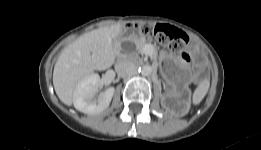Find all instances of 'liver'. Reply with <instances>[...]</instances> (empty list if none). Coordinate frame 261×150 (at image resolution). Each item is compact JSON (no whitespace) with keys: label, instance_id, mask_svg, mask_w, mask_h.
Instances as JSON below:
<instances>
[{"label":"liver","instance_id":"liver-1","mask_svg":"<svg viewBox=\"0 0 261 150\" xmlns=\"http://www.w3.org/2000/svg\"><path fill=\"white\" fill-rule=\"evenodd\" d=\"M121 35L120 24L98 28L81 35L62 51L54 66L53 85L64 104L72 105L73 91L80 80L112 66L115 60L113 43Z\"/></svg>","mask_w":261,"mask_h":150}]
</instances>
